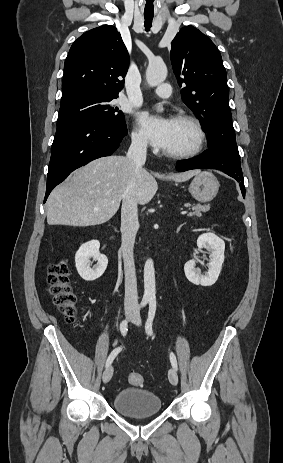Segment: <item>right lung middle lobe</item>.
Segmentation results:
<instances>
[{"label":"right lung middle lobe","mask_w":283,"mask_h":463,"mask_svg":"<svg viewBox=\"0 0 283 463\" xmlns=\"http://www.w3.org/2000/svg\"><path fill=\"white\" fill-rule=\"evenodd\" d=\"M116 96H88L59 109L57 129L81 121H99L114 125H126L122 111L111 105Z\"/></svg>","instance_id":"right-lung-middle-lobe-1"}]
</instances>
